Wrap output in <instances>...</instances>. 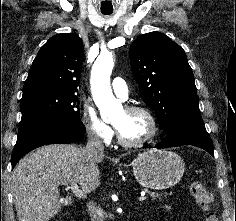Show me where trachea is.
<instances>
[{"mask_svg":"<svg viewBox=\"0 0 236 221\" xmlns=\"http://www.w3.org/2000/svg\"><path fill=\"white\" fill-rule=\"evenodd\" d=\"M104 15H110L112 12H102Z\"/></svg>","mask_w":236,"mask_h":221,"instance_id":"obj_1","label":"trachea"}]
</instances>
